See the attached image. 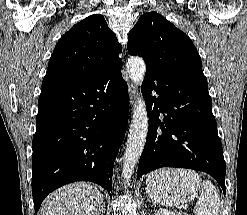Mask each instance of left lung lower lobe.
I'll return each mask as SVG.
<instances>
[{"mask_svg": "<svg viewBox=\"0 0 247 215\" xmlns=\"http://www.w3.org/2000/svg\"><path fill=\"white\" fill-rule=\"evenodd\" d=\"M141 90L149 130L137 178L161 167L189 168L210 174L225 194V161L208 85L147 67Z\"/></svg>", "mask_w": 247, "mask_h": 215, "instance_id": "obj_1", "label": "left lung lower lobe"}]
</instances>
